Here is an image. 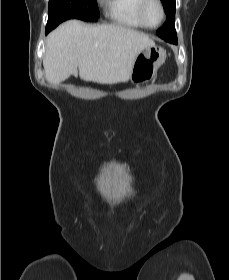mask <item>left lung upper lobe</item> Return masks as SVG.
I'll return each instance as SVG.
<instances>
[{"mask_svg":"<svg viewBox=\"0 0 229 280\" xmlns=\"http://www.w3.org/2000/svg\"><path fill=\"white\" fill-rule=\"evenodd\" d=\"M161 2L167 14V21L156 33L162 39L170 42L177 39L175 31V0H161Z\"/></svg>","mask_w":229,"mask_h":280,"instance_id":"obj_1","label":"left lung upper lobe"}]
</instances>
